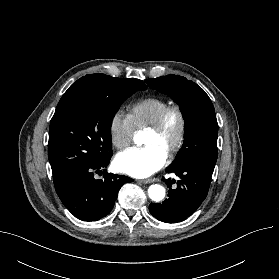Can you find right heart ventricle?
Here are the masks:
<instances>
[{
	"instance_id": "e07e8e85",
	"label": "right heart ventricle",
	"mask_w": 279,
	"mask_h": 279,
	"mask_svg": "<svg viewBox=\"0 0 279 279\" xmlns=\"http://www.w3.org/2000/svg\"><path fill=\"white\" fill-rule=\"evenodd\" d=\"M170 103L159 97H148L137 101L129 107V116L136 129H143L152 125L159 114Z\"/></svg>"
}]
</instances>
